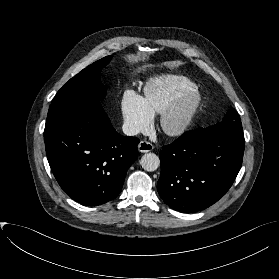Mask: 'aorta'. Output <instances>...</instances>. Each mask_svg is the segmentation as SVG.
<instances>
[{"mask_svg":"<svg viewBox=\"0 0 279 279\" xmlns=\"http://www.w3.org/2000/svg\"><path fill=\"white\" fill-rule=\"evenodd\" d=\"M140 164L146 171H155L160 166L159 157L154 153H146L141 157Z\"/></svg>","mask_w":279,"mask_h":279,"instance_id":"aorta-1","label":"aorta"}]
</instances>
